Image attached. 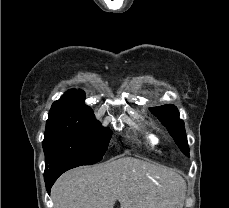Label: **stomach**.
<instances>
[{"mask_svg": "<svg viewBox=\"0 0 229 208\" xmlns=\"http://www.w3.org/2000/svg\"><path fill=\"white\" fill-rule=\"evenodd\" d=\"M170 208H183V202L180 200V198H177L175 202H173L172 206Z\"/></svg>", "mask_w": 229, "mask_h": 208, "instance_id": "1", "label": "stomach"}]
</instances>
